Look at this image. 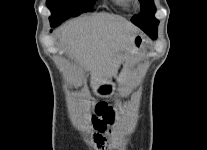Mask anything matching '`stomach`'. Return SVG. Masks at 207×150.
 <instances>
[{
	"label": "stomach",
	"mask_w": 207,
	"mask_h": 150,
	"mask_svg": "<svg viewBox=\"0 0 207 150\" xmlns=\"http://www.w3.org/2000/svg\"><path fill=\"white\" fill-rule=\"evenodd\" d=\"M144 42H145V39L141 35H138V34L135 35L134 42H133V48L129 53L130 57L137 55L142 50ZM122 66L120 65L118 69L116 70V73H118L119 75L122 73V68H123ZM113 89H114V84L107 81L95 87L94 92L98 96L105 97V96H108Z\"/></svg>",
	"instance_id": "obj_1"
}]
</instances>
